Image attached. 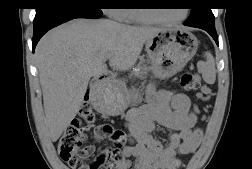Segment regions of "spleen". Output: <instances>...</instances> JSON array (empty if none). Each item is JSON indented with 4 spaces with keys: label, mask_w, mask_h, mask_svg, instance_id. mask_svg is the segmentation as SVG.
I'll return each mask as SVG.
<instances>
[{
    "label": "spleen",
    "mask_w": 252,
    "mask_h": 169,
    "mask_svg": "<svg viewBox=\"0 0 252 169\" xmlns=\"http://www.w3.org/2000/svg\"><path fill=\"white\" fill-rule=\"evenodd\" d=\"M205 61H199L198 71L202 74L204 81L208 84H214L216 80L215 60L210 52H205Z\"/></svg>",
    "instance_id": "3e777b00"
}]
</instances>
